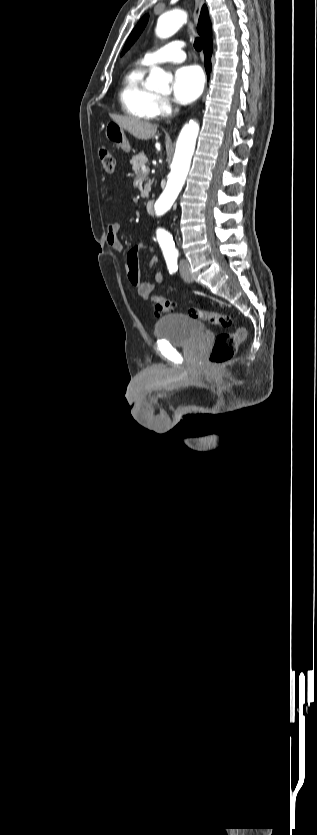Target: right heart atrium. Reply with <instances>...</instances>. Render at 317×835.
Segmentation results:
<instances>
[{
  "mask_svg": "<svg viewBox=\"0 0 317 835\" xmlns=\"http://www.w3.org/2000/svg\"><path fill=\"white\" fill-rule=\"evenodd\" d=\"M173 106L169 98L165 96H158L155 105V116H166L172 112Z\"/></svg>",
  "mask_w": 317,
  "mask_h": 835,
  "instance_id": "1",
  "label": "right heart atrium"
}]
</instances>
